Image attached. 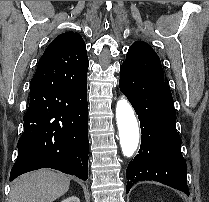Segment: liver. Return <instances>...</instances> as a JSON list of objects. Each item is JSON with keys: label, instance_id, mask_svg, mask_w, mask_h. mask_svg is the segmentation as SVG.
Instances as JSON below:
<instances>
[{"label": "liver", "instance_id": "1", "mask_svg": "<svg viewBox=\"0 0 209 202\" xmlns=\"http://www.w3.org/2000/svg\"><path fill=\"white\" fill-rule=\"evenodd\" d=\"M70 187L63 173L39 170L22 175L12 185L9 202H53Z\"/></svg>", "mask_w": 209, "mask_h": 202}]
</instances>
